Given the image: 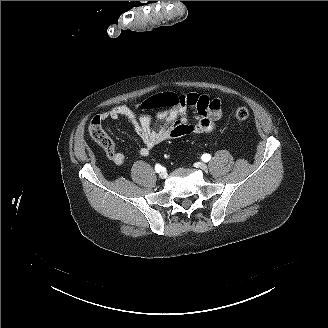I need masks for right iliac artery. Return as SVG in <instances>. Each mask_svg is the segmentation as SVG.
I'll return each instance as SVG.
<instances>
[{
    "label": "right iliac artery",
    "mask_w": 328,
    "mask_h": 328,
    "mask_svg": "<svg viewBox=\"0 0 328 328\" xmlns=\"http://www.w3.org/2000/svg\"><path fill=\"white\" fill-rule=\"evenodd\" d=\"M155 171H156L157 173L161 172V171H162V166H161L160 164H156V165H155Z\"/></svg>",
    "instance_id": "obj_1"
}]
</instances>
